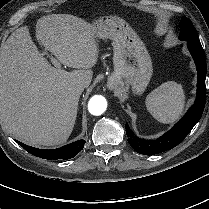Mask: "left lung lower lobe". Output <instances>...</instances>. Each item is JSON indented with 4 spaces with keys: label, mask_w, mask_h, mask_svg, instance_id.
Wrapping results in <instances>:
<instances>
[{
    "label": "left lung lower lobe",
    "mask_w": 209,
    "mask_h": 209,
    "mask_svg": "<svg viewBox=\"0 0 209 209\" xmlns=\"http://www.w3.org/2000/svg\"><path fill=\"white\" fill-rule=\"evenodd\" d=\"M187 46L195 61L198 72L195 102L184 117L157 140H145L136 137L129 128L128 123H126L125 128L128 142L140 154L155 155L174 148L184 140L202 116L206 101V57L200 40L187 41Z\"/></svg>",
    "instance_id": "0a47b994"
}]
</instances>
